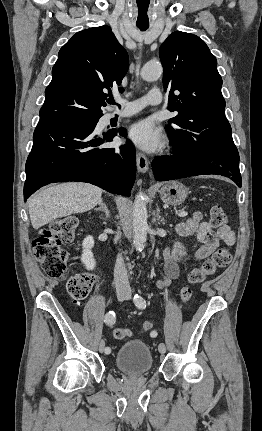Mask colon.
I'll use <instances>...</instances> for the list:
<instances>
[{
    "mask_svg": "<svg viewBox=\"0 0 262 431\" xmlns=\"http://www.w3.org/2000/svg\"><path fill=\"white\" fill-rule=\"evenodd\" d=\"M228 223V215L221 208H213L211 211V224L214 227H222ZM79 229L78 221L74 218L57 220L52 225L43 228L33 241V253L41 264L46 276L54 280H62L67 275V254L62 243L72 242ZM231 255L225 248L217 249L213 255L204 260L200 265L191 270L188 276L190 284H201L208 276L213 275L217 269L226 266ZM92 287V277L88 274L77 273L68 281V292L75 302L84 300ZM192 290L184 286L180 290V297L184 303L189 302ZM152 321H145L144 331H152ZM129 335V331L116 328L112 336L116 340H122ZM152 337H155L152 334Z\"/></svg>",
    "mask_w": 262,
    "mask_h": 431,
    "instance_id": "1",
    "label": "colon"
}]
</instances>
